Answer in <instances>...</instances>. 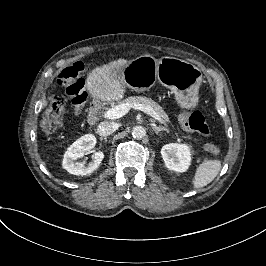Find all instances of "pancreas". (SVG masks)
Wrapping results in <instances>:
<instances>
[{
  "instance_id": "obj_1",
  "label": "pancreas",
  "mask_w": 266,
  "mask_h": 266,
  "mask_svg": "<svg viewBox=\"0 0 266 266\" xmlns=\"http://www.w3.org/2000/svg\"><path fill=\"white\" fill-rule=\"evenodd\" d=\"M125 101H128L130 103H140L145 106H150L156 112V114L163 120V122L169 121L167 113L158 103L153 101L151 98H147L145 96H131L128 97Z\"/></svg>"
}]
</instances>
